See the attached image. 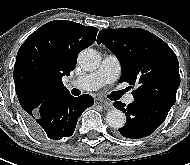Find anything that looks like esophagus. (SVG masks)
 I'll return each mask as SVG.
<instances>
[{"mask_svg": "<svg viewBox=\"0 0 190 165\" xmlns=\"http://www.w3.org/2000/svg\"><path fill=\"white\" fill-rule=\"evenodd\" d=\"M99 103L103 106L105 110H111L113 108L110 102L99 100Z\"/></svg>", "mask_w": 190, "mask_h": 165, "instance_id": "esophagus-1", "label": "esophagus"}]
</instances>
